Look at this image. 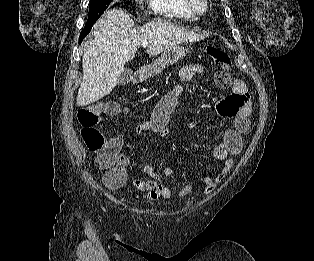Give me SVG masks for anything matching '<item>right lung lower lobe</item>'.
I'll return each mask as SVG.
<instances>
[{"instance_id":"1","label":"right lung lower lobe","mask_w":314,"mask_h":261,"mask_svg":"<svg viewBox=\"0 0 314 261\" xmlns=\"http://www.w3.org/2000/svg\"><path fill=\"white\" fill-rule=\"evenodd\" d=\"M92 26H93V24L85 26V29L80 34L79 43H81L83 38L90 32Z\"/></svg>"}]
</instances>
